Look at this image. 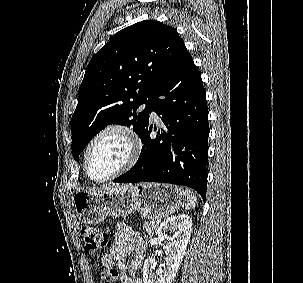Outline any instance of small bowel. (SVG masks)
<instances>
[{"label":"small bowel","instance_id":"obj_1","mask_svg":"<svg viewBox=\"0 0 303 283\" xmlns=\"http://www.w3.org/2000/svg\"><path fill=\"white\" fill-rule=\"evenodd\" d=\"M146 249V243L138 232L124 224H119L110 251L101 255L100 263L103 267L109 268L115 262L118 268L123 270L127 257L134 253L129 264V272L135 275L144 260ZM120 283H130L128 274L121 273ZM134 283L143 282L140 278H136Z\"/></svg>","mask_w":303,"mask_h":283}]
</instances>
